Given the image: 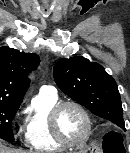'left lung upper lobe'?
<instances>
[{
    "label": "left lung upper lobe",
    "instance_id": "5c2ea615",
    "mask_svg": "<svg viewBox=\"0 0 130 153\" xmlns=\"http://www.w3.org/2000/svg\"><path fill=\"white\" fill-rule=\"evenodd\" d=\"M58 87L93 114L125 129L120 94L103 66L82 56L60 59L53 68Z\"/></svg>",
    "mask_w": 130,
    "mask_h": 153
}]
</instances>
